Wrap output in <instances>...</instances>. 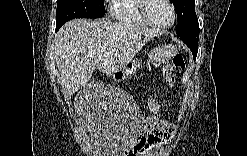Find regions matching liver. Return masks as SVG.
Segmentation results:
<instances>
[{
	"instance_id": "liver-1",
	"label": "liver",
	"mask_w": 247,
	"mask_h": 156,
	"mask_svg": "<svg viewBox=\"0 0 247 156\" xmlns=\"http://www.w3.org/2000/svg\"><path fill=\"white\" fill-rule=\"evenodd\" d=\"M161 32L128 22L77 19L55 35L54 56L62 85L74 93L95 67L107 75L123 69L142 47Z\"/></svg>"
}]
</instances>
